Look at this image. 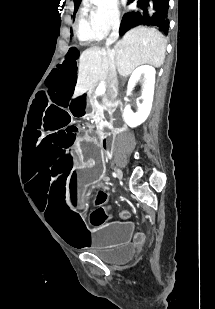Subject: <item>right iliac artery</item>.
I'll use <instances>...</instances> for the list:
<instances>
[{
  "label": "right iliac artery",
  "instance_id": "obj_1",
  "mask_svg": "<svg viewBox=\"0 0 215 309\" xmlns=\"http://www.w3.org/2000/svg\"><path fill=\"white\" fill-rule=\"evenodd\" d=\"M113 176H114V177H116V174H115V173H113Z\"/></svg>",
  "mask_w": 215,
  "mask_h": 309
}]
</instances>
